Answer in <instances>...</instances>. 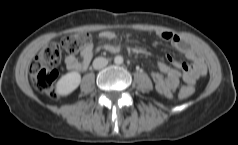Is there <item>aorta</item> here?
<instances>
[{"label":"aorta","instance_id":"aorta-1","mask_svg":"<svg viewBox=\"0 0 238 145\" xmlns=\"http://www.w3.org/2000/svg\"><path fill=\"white\" fill-rule=\"evenodd\" d=\"M123 61H124V59H123V57L120 56V55H118V56H116V57L114 58V62H115L116 64H122Z\"/></svg>","mask_w":238,"mask_h":145}]
</instances>
